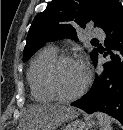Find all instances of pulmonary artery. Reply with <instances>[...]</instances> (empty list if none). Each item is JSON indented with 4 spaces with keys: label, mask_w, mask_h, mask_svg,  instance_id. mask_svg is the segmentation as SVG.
<instances>
[{
    "label": "pulmonary artery",
    "mask_w": 123,
    "mask_h": 130,
    "mask_svg": "<svg viewBox=\"0 0 123 130\" xmlns=\"http://www.w3.org/2000/svg\"><path fill=\"white\" fill-rule=\"evenodd\" d=\"M89 34L92 38H98V39L104 38V32L100 28H92Z\"/></svg>",
    "instance_id": "e3ab8cb5"
}]
</instances>
